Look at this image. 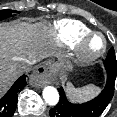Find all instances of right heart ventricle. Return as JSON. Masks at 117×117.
Here are the masks:
<instances>
[{
  "mask_svg": "<svg viewBox=\"0 0 117 117\" xmlns=\"http://www.w3.org/2000/svg\"><path fill=\"white\" fill-rule=\"evenodd\" d=\"M53 32L58 43L75 46L78 39L91 32V29L80 21L62 19L54 23Z\"/></svg>",
  "mask_w": 117,
  "mask_h": 117,
  "instance_id": "e07e8e85",
  "label": "right heart ventricle"
}]
</instances>
